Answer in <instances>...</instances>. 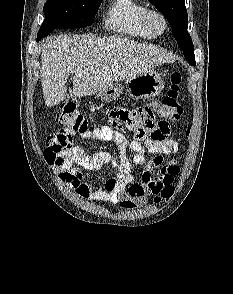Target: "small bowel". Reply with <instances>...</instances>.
Here are the masks:
<instances>
[{"label":"small bowel","instance_id":"obj_1","mask_svg":"<svg viewBox=\"0 0 233 294\" xmlns=\"http://www.w3.org/2000/svg\"><path fill=\"white\" fill-rule=\"evenodd\" d=\"M139 107L115 108L105 126L81 134L84 138L114 142L120 148V156H112L103 149L76 147L67 157L50 159L47 152L54 135L48 137L44 155L61 182L84 199L107 202L123 209L142 206L149 196H156L163 188L172 187L180 168L174 158H165L178 150L177 142L168 137L170 120H161L160 110L151 108V104H140ZM115 129H125L131 141ZM145 154L157 156L146 161ZM104 165L118 168V173L99 187H92L83 180V170H98ZM134 166H144L140 182L133 181L131 170ZM156 170L157 175L154 176Z\"/></svg>","mask_w":233,"mask_h":294}]
</instances>
